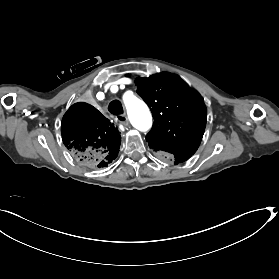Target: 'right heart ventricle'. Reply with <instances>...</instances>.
Returning a JSON list of instances; mask_svg holds the SVG:
<instances>
[{
    "label": "right heart ventricle",
    "mask_w": 279,
    "mask_h": 279,
    "mask_svg": "<svg viewBox=\"0 0 279 279\" xmlns=\"http://www.w3.org/2000/svg\"><path fill=\"white\" fill-rule=\"evenodd\" d=\"M96 52L91 56L85 58V62L87 63H98L104 61L106 56L101 52L102 49H94ZM137 98V94L135 91L128 90L123 93V95L118 100L119 103L125 108L128 109L135 99Z\"/></svg>",
    "instance_id": "obj_1"
}]
</instances>
